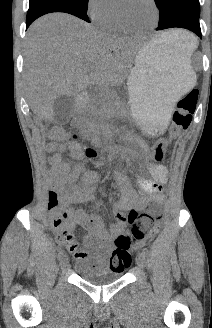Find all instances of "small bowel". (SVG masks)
<instances>
[{
  "label": "small bowel",
  "instance_id": "obj_1",
  "mask_svg": "<svg viewBox=\"0 0 212 328\" xmlns=\"http://www.w3.org/2000/svg\"><path fill=\"white\" fill-rule=\"evenodd\" d=\"M66 148L73 157L82 156L80 147L75 143H51L47 146L50 175L60 189L62 203L69 206L68 222H63L61 227L69 228L71 225H81L87 229L88 234L83 239L82 254L79 257H86L85 251H89L98 266H106L111 270H124L118 266L117 262L111 263V258L110 260L107 258L111 242L125 231L127 218L124 212L130 209H141L146 205L148 199L143 195H148L150 200L156 203L162 202L167 168L163 164L150 163V177L139 180L137 190L131 186L124 174L120 172L111 174V179L120 186L121 198L111 207L115 222L107 228L99 214L89 213L78 207L88 203H93L98 208L104 206L103 202H94V184L103 178V174L89 171L81 175V166L66 161L59 153Z\"/></svg>",
  "mask_w": 212,
  "mask_h": 328
}]
</instances>
